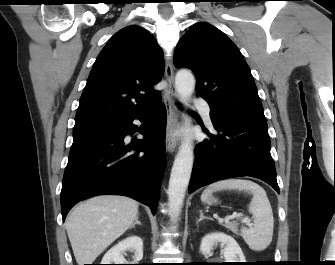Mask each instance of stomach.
Instances as JSON below:
<instances>
[{
    "label": "stomach",
    "mask_w": 335,
    "mask_h": 265,
    "mask_svg": "<svg viewBox=\"0 0 335 265\" xmlns=\"http://www.w3.org/2000/svg\"><path fill=\"white\" fill-rule=\"evenodd\" d=\"M207 202H208L209 204H211V203L216 202V200H215L213 197L210 196V197L208 198Z\"/></svg>",
    "instance_id": "obj_1"
}]
</instances>
